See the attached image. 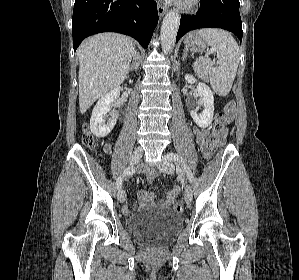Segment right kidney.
<instances>
[{"label": "right kidney", "mask_w": 299, "mask_h": 280, "mask_svg": "<svg viewBox=\"0 0 299 280\" xmlns=\"http://www.w3.org/2000/svg\"><path fill=\"white\" fill-rule=\"evenodd\" d=\"M119 94L120 88L117 87L103 95L95 105L90 119V130L96 137L103 138L114 128L117 121L115 111L107 124L105 123V118L111 108L116 105V100L119 98Z\"/></svg>", "instance_id": "right-kidney-1"}]
</instances>
